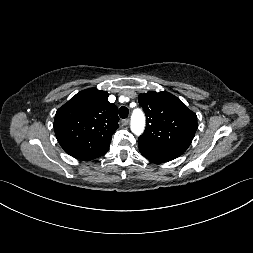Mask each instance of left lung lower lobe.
<instances>
[{"mask_svg": "<svg viewBox=\"0 0 253 253\" xmlns=\"http://www.w3.org/2000/svg\"><path fill=\"white\" fill-rule=\"evenodd\" d=\"M139 150L144 157H146L147 159L153 162H158V163L171 161L180 156L174 153L160 151V150L143 147V146H139Z\"/></svg>", "mask_w": 253, "mask_h": 253, "instance_id": "obj_1", "label": "left lung lower lobe"}]
</instances>
